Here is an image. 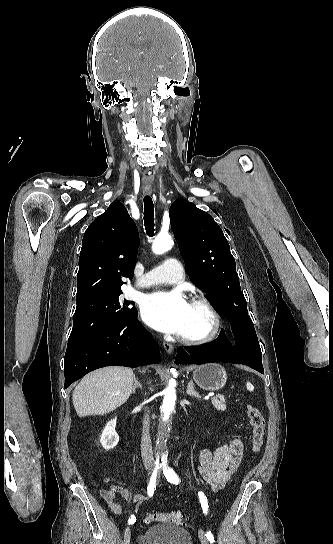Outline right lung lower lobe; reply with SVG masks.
<instances>
[{"mask_svg": "<svg viewBox=\"0 0 333 544\" xmlns=\"http://www.w3.org/2000/svg\"><path fill=\"white\" fill-rule=\"evenodd\" d=\"M137 316L138 313L119 325L68 344L64 363V388L101 367H138L160 363L158 345L136 319Z\"/></svg>", "mask_w": 333, "mask_h": 544, "instance_id": "1", "label": "right lung lower lobe"}]
</instances>
